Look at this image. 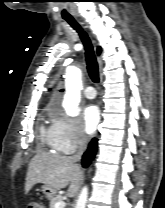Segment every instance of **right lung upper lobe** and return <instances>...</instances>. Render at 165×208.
Listing matches in <instances>:
<instances>
[{"label": "right lung upper lobe", "instance_id": "right-lung-upper-lobe-1", "mask_svg": "<svg viewBox=\"0 0 165 208\" xmlns=\"http://www.w3.org/2000/svg\"><path fill=\"white\" fill-rule=\"evenodd\" d=\"M100 52H101V48H100V47H98V49H97V53H98V54H100Z\"/></svg>", "mask_w": 165, "mask_h": 208}]
</instances>
